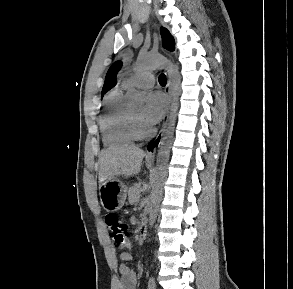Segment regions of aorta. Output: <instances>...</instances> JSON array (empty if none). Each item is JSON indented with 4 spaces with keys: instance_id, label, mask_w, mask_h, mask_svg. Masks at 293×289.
<instances>
[{
    "instance_id": "1",
    "label": "aorta",
    "mask_w": 293,
    "mask_h": 289,
    "mask_svg": "<svg viewBox=\"0 0 293 289\" xmlns=\"http://www.w3.org/2000/svg\"><path fill=\"white\" fill-rule=\"evenodd\" d=\"M164 68L167 71L171 87V107L164 137L160 143L156 171L152 183V190L149 197V226L153 227L163 195V185L167 177V166L172 145V138L175 130L177 111L179 107V96L181 94V76L178 68L163 57H155L142 54L138 57L135 70L145 71ZM145 95L137 90L129 92V101L134 105L144 102Z\"/></svg>"
}]
</instances>
